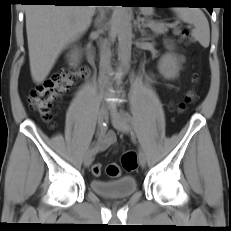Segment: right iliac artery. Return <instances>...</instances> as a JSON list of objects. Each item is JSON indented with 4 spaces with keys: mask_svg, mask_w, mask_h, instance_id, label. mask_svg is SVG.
I'll return each mask as SVG.
<instances>
[{
    "mask_svg": "<svg viewBox=\"0 0 231 231\" xmlns=\"http://www.w3.org/2000/svg\"><path fill=\"white\" fill-rule=\"evenodd\" d=\"M106 132V124L103 123V125L100 127V129L97 132L98 139L102 138L105 135ZM92 154H96V151L94 148L91 149Z\"/></svg>",
    "mask_w": 231,
    "mask_h": 231,
    "instance_id": "obj_1",
    "label": "right iliac artery"
}]
</instances>
